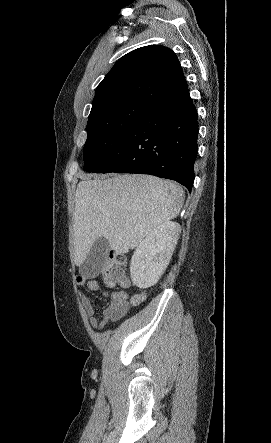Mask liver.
<instances>
[{"mask_svg":"<svg viewBox=\"0 0 271 443\" xmlns=\"http://www.w3.org/2000/svg\"><path fill=\"white\" fill-rule=\"evenodd\" d=\"M183 204L181 186L155 176H84L75 194L74 263H84L98 237L127 253L158 225L177 218Z\"/></svg>","mask_w":271,"mask_h":443,"instance_id":"obj_1","label":"liver"}]
</instances>
